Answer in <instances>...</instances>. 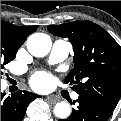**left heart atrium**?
<instances>
[{"label": "left heart atrium", "instance_id": "left-heart-atrium-1", "mask_svg": "<svg viewBox=\"0 0 121 121\" xmlns=\"http://www.w3.org/2000/svg\"><path fill=\"white\" fill-rule=\"evenodd\" d=\"M32 86L38 91H46L51 88L53 78L47 73H38L32 78Z\"/></svg>", "mask_w": 121, "mask_h": 121}]
</instances>
